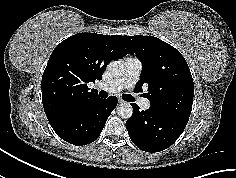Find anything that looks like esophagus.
<instances>
[{"instance_id": "esophagus-1", "label": "esophagus", "mask_w": 236, "mask_h": 178, "mask_svg": "<svg viewBox=\"0 0 236 178\" xmlns=\"http://www.w3.org/2000/svg\"><path fill=\"white\" fill-rule=\"evenodd\" d=\"M118 103H119V104H122V103H124V101H123L122 99H119V100H118Z\"/></svg>"}]
</instances>
